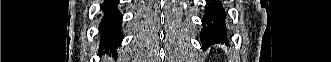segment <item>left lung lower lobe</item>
<instances>
[{
  "instance_id": "1",
  "label": "left lung lower lobe",
  "mask_w": 331,
  "mask_h": 62,
  "mask_svg": "<svg viewBox=\"0 0 331 62\" xmlns=\"http://www.w3.org/2000/svg\"><path fill=\"white\" fill-rule=\"evenodd\" d=\"M205 15L203 16V28L200 33L204 47L218 42H226V11L219 0L206 1Z\"/></svg>"
}]
</instances>
